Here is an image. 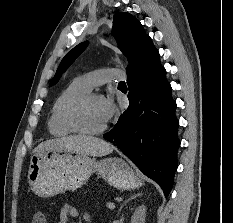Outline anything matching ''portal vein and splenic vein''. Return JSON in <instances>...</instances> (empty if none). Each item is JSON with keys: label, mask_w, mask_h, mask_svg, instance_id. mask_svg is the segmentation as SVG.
<instances>
[{"label": "portal vein and splenic vein", "mask_w": 233, "mask_h": 223, "mask_svg": "<svg viewBox=\"0 0 233 223\" xmlns=\"http://www.w3.org/2000/svg\"><path fill=\"white\" fill-rule=\"evenodd\" d=\"M107 207H110V209H114L115 205L114 203H107Z\"/></svg>", "instance_id": "18ae733b"}]
</instances>
